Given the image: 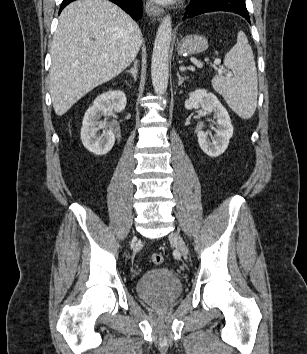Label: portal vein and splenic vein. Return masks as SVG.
<instances>
[{
  "label": "portal vein and splenic vein",
  "instance_id": "1",
  "mask_svg": "<svg viewBox=\"0 0 307 354\" xmlns=\"http://www.w3.org/2000/svg\"><path fill=\"white\" fill-rule=\"evenodd\" d=\"M103 56L106 57L107 54H104ZM220 63H221V60H220V59H215V60H214V65H215V66L219 65ZM219 72H222V70H219ZM228 76H231V74L229 73Z\"/></svg>",
  "mask_w": 307,
  "mask_h": 354
}]
</instances>
